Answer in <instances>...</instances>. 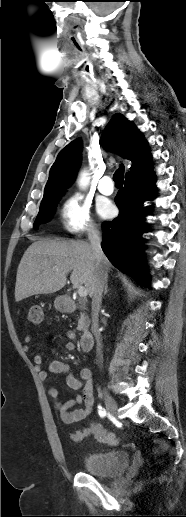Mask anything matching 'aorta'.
Masks as SVG:
<instances>
[{
  "label": "aorta",
  "mask_w": 186,
  "mask_h": 517,
  "mask_svg": "<svg viewBox=\"0 0 186 517\" xmlns=\"http://www.w3.org/2000/svg\"><path fill=\"white\" fill-rule=\"evenodd\" d=\"M88 182H89L88 173L86 171H84L83 173H81V176L79 179V185H80V187L85 188L88 185Z\"/></svg>",
  "instance_id": "aorta-1"
}]
</instances>
